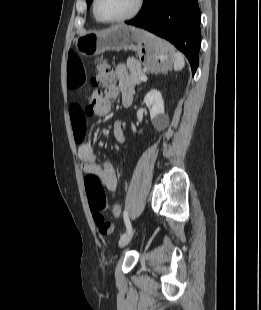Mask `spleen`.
<instances>
[{"mask_svg":"<svg viewBox=\"0 0 261 310\" xmlns=\"http://www.w3.org/2000/svg\"><path fill=\"white\" fill-rule=\"evenodd\" d=\"M184 66H185V60L183 54L180 52H176L174 58V70L180 71L183 69Z\"/></svg>","mask_w":261,"mask_h":310,"instance_id":"3e777b00","label":"spleen"}]
</instances>
